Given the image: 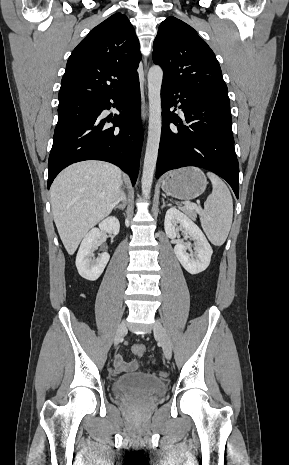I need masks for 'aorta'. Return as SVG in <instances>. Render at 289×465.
<instances>
[{"instance_id":"762f6f07","label":"aorta","mask_w":289,"mask_h":465,"mask_svg":"<svg viewBox=\"0 0 289 465\" xmlns=\"http://www.w3.org/2000/svg\"><path fill=\"white\" fill-rule=\"evenodd\" d=\"M163 70L154 65L148 72L149 126L141 179L142 194L148 197L151 191L161 137V85Z\"/></svg>"}]
</instances>
